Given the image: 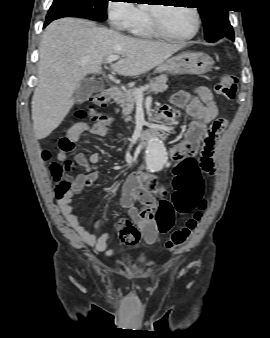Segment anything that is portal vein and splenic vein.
<instances>
[{
  "label": "portal vein and splenic vein",
  "instance_id": "18ae733b",
  "mask_svg": "<svg viewBox=\"0 0 270 338\" xmlns=\"http://www.w3.org/2000/svg\"><path fill=\"white\" fill-rule=\"evenodd\" d=\"M119 58H120V57H119L118 55H111V56H109V57L106 59V63H111V62H113V61L118 60ZM146 88H147V87H143L142 89L136 90V91L134 92L135 97H136L137 99H142V98H143V92H144V90H145Z\"/></svg>",
  "mask_w": 270,
  "mask_h": 338
}]
</instances>
